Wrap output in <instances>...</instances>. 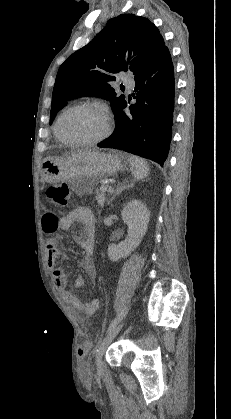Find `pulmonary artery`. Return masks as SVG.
Here are the masks:
<instances>
[{
    "instance_id": "obj_1",
    "label": "pulmonary artery",
    "mask_w": 231,
    "mask_h": 419,
    "mask_svg": "<svg viewBox=\"0 0 231 419\" xmlns=\"http://www.w3.org/2000/svg\"><path fill=\"white\" fill-rule=\"evenodd\" d=\"M124 85L128 88V89H132L135 85L134 80L131 77H126L124 78Z\"/></svg>"
}]
</instances>
